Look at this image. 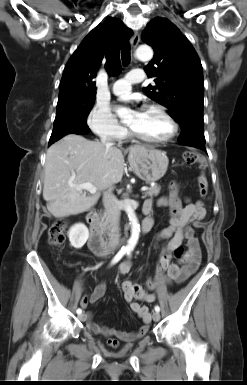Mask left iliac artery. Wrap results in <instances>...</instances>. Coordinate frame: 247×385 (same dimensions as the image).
I'll use <instances>...</instances> for the list:
<instances>
[{
	"label": "left iliac artery",
	"mask_w": 247,
	"mask_h": 385,
	"mask_svg": "<svg viewBox=\"0 0 247 385\" xmlns=\"http://www.w3.org/2000/svg\"><path fill=\"white\" fill-rule=\"evenodd\" d=\"M127 254L130 256V251L127 252ZM155 311L156 312H159L160 311V307L158 305L155 306Z\"/></svg>",
	"instance_id": "44dca946"
}]
</instances>
